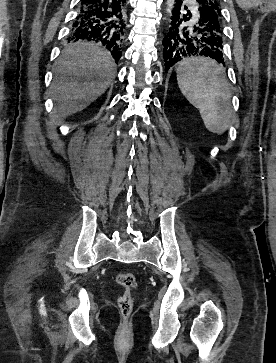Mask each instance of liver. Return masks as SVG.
Segmentation results:
<instances>
[{"mask_svg":"<svg viewBox=\"0 0 276 363\" xmlns=\"http://www.w3.org/2000/svg\"><path fill=\"white\" fill-rule=\"evenodd\" d=\"M114 70L110 53L99 44L78 41L67 45L54 68L55 114L66 117L86 108L108 88Z\"/></svg>","mask_w":276,"mask_h":363,"instance_id":"1","label":"liver"}]
</instances>
